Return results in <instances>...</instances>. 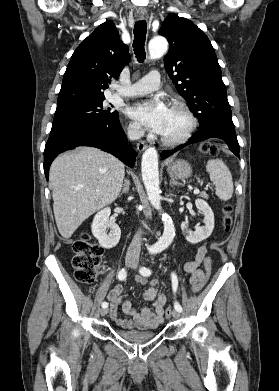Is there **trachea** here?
Instances as JSON below:
<instances>
[{"label":"trachea","mask_w":279,"mask_h":391,"mask_svg":"<svg viewBox=\"0 0 279 391\" xmlns=\"http://www.w3.org/2000/svg\"><path fill=\"white\" fill-rule=\"evenodd\" d=\"M147 32V24L144 20H139L135 23L134 26V41L133 48L136 58L139 62H142L145 59L146 53L144 49L145 39Z\"/></svg>","instance_id":"1"}]
</instances>
